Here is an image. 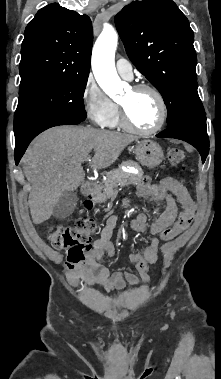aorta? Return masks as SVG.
Listing matches in <instances>:
<instances>
[{"label": "aorta", "instance_id": "aorta-1", "mask_svg": "<svg viewBox=\"0 0 221 379\" xmlns=\"http://www.w3.org/2000/svg\"><path fill=\"white\" fill-rule=\"evenodd\" d=\"M117 43L116 31L108 26L98 37L92 52V70L95 79L103 91L114 100L123 91L114 62Z\"/></svg>", "mask_w": 221, "mask_h": 379}]
</instances>
